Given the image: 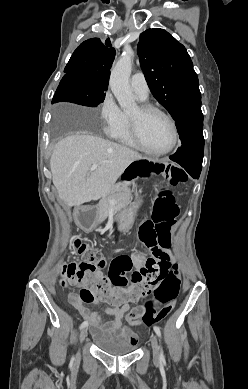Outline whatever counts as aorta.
Wrapping results in <instances>:
<instances>
[{"label":"aorta","instance_id":"aorta-1","mask_svg":"<svg viewBox=\"0 0 248 389\" xmlns=\"http://www.w3.org/2000/svg\"><path fill=\"white\" fill-rule=\"evenodd\" d=\"M133 58V50L126 49L113 67L109 81L111 91L124 111L131 110L136 106L135 97L129 84Z\"/></svg>","mask_w":248,"mask_h":389}]
</instances>
